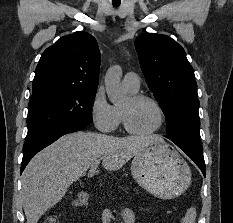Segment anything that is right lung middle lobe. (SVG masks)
<instances>
[{
	"label": "right lung middle lobe",
	"mask_w": 233,
	"mask_h": 223,
	"mask_svg": "<svg viewBox=\"0 0 233 223\" xmlns=\"http://www.w3.org/2000/svg\"><path fill=\"white\" fill-rule=\"evenodd\" d=\"M95 94L96 90L57 89L32 95L24 152L65 124L91 123Z\"/></svg>",
	"instance_id": "obj_1"
}]
</instances>
